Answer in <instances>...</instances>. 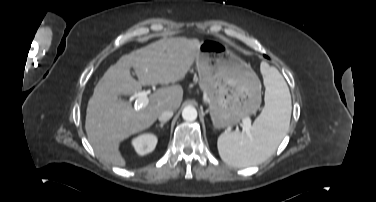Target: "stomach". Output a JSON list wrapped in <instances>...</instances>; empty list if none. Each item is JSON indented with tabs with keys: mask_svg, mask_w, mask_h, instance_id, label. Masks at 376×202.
I'll return each instance as SVG.
<instances>
[{
	"mask_svg": "<svg viewBox=\"0 0 376 202\" xmlns=\"http://www.w3.org/2000/svg\"><path fill=\"white\" fill-rule=\"evenodd\" d=\"M200 87L216 128L238 123L261 103V84L253 69L224 43L208 39L196 53Z\"/></svg>",
	"mask_w": 376,
	"mask_h": 202,
	"instance_id": "0dacf381",
	"label": "stomach"
}]
</instances>
